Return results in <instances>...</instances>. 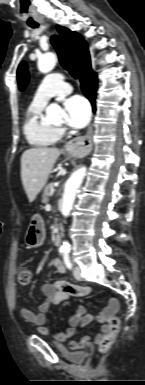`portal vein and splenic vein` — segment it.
I'll list each match as a JSON object with an SVG mask.
<instances>
[{
    "label": "portal vein and splenic vein",
    "mask_w": 145,
    "mask_h": 385,
    "mask_svg": "<svg viewBox=\"0 0 145 385\" xmlns=\"http://www.w3.org/2000/svg\"><path fill=\"white\" fill-rule=\"evenodd\" d=\"M46 208H47V209H49V208H50V205H49V204H48V205H46Z\"/></svg>",
    "instance_id": "18ae733b"
}]
</instances>
